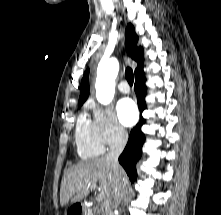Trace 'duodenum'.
I'll list each match as a JSON object with an SVG mask.
<instances>
[{"instance_id":"duodenum-1","label":"duodenum","mask_w":221,"mask_h":215,"mask_svg":"<svg viewBox=\"0 0 221 215\" xmlns=\"http://www.w3.org/2000/svg\"><path fill=\"white\" fill-rule=\"evenodd\" d=\"M87 207L82 204H76L71 212V215H84Z\"/></svg>"}]
</instances>
